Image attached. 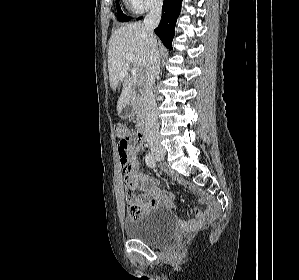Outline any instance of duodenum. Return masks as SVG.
Segmentation results:
<instances>
[{"label":"duodenum","instance_id":"obj_1","mask_svg":"<svg viewBox=\"0 0 299 280\" xmlns=\"http://www.w3.org/2000/svg\"><path fill=\"white\" fill-rule=\"evenodd\" d=\"M138 138L140 140H146L147 138V127L145 124H141L139 129H138Z\"/></svg>","mask_w":299,"mask_h":280}]
</instances>
